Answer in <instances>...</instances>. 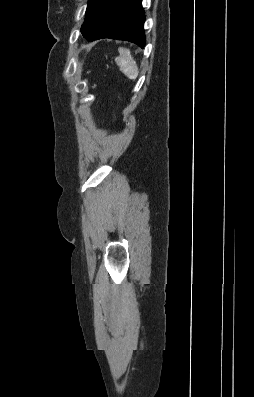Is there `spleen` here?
Masks as SVG:
<instances>
[{
	"mask_svg": "<svg viewBox=\"0 0 254 397\" xmlns=\"http://www.w3.org/2000/svg\"><path fill=\"white\" fill-rule=\"evenodd\" d=\"M120 71L129 79L135 80L138 76V66L129 49L119 48V56L115 58Z\"/></svg>",
	"mask_w": 254,
	"mask_h": 397,
	"instance_id": "spleen-1",
	"label": "spleen"
}]
</instances>
